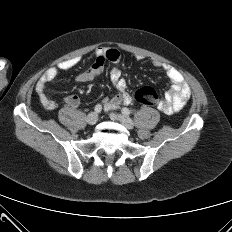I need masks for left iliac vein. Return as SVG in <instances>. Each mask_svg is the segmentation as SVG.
<instances>
[{
	"instance_id": "obj_1",
	"label": "left iliac vein",
	"mask_w": 232,
	"mask_h": 232,
	"mask_svg": "<svg viewBox=\"0 0 232 232\" xmlns=\"http://www.w3.org/2000/svg\"><path fill=\"white\" fill-rule=\"evenodd\" d=\"M111 118L119 120L127 129H132L134 127L132 119L124 114H111Z\"/></svg>"
}]
</instances>
